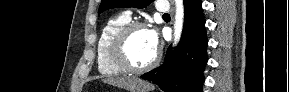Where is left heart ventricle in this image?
I'll use <instances>...</instances> for the list:
<instances>
[{
	"label": "left heart ventricle",
	"instance_id": "left-heart-ventricle-1",
	"mask_svg": "<svg viewBox=\"0 0 289 92\" xmlns=\"http://www.w3.org/2000/svg\"><path fill=\"white\" fill-rule=\"evenodd\" d=\"M127 56L136 66L148 64L155 56L156 50L150 43L147 29L134 31L127 44Z\"/></svg>",
	"mask_w": 289,
	"mask_h": 92
}]
</instances>
